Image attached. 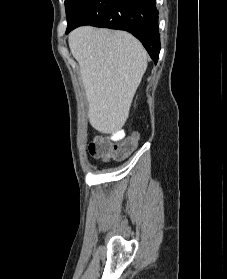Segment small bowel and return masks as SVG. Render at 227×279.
Instances as JSON below:
<instances>
[{
  "label": "small bowel",
  "instance_id": "small-bowel-1",
  "mask_svg": "<svg viewBox=\"0 0 227 279\" xmlns=\"http://www.w3.org/2000/svg\"><path fill=\"white\" fill-rule=\"evenodd\" d=\"M124 139H126V135L123 132H118L114 134L112 137L105 138L107 142H118Z\"/></svg>",
  "mask_w": 227,
  "mask_h": 279
}]
</instances>
